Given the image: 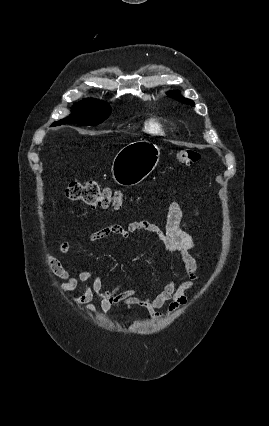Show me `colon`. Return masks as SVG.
<instances>
[{
  "mask_svg": "<svg viewBox=\"0 0 269 426\" xmlns=\"http://www.w3.org/2000/svg\"><path fill=\"white\" fill-rule=\"evenodd\" d=\"M176 156L183 165H194L200 159L199 152L192 149H179ZM65 196L94 208H119L121 205V192L118 189L102 186L95 181L73 180L66 186Z\"/></svg>",
  "mask_w": 269,
  "mask_h": 426,
  "instance_id": "1",
  "label": "colon"
}]
</instances>
